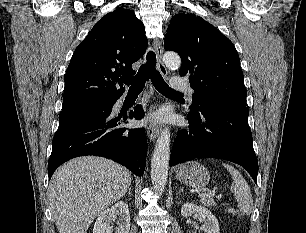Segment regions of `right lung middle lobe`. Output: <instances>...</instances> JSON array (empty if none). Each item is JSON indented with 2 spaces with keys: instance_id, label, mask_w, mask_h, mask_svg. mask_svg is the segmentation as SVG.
I'll use <instances>...</instances> for the list:
<instances>
[{
  "instance_id": "1",
  "label": "right lung middle lobe",
  "mask_w": 306,
  "mask_h": 233,
  "mask_svg": "<svg viewBox=\"0 0 306 233\" xmlns=\"http://www.w3.org/2000/svg\"><path fill=\"white\" fill-rule=\"evenodd\" d=\"M115 102H97V101H84L74 104L64 105L59 115V122L79 116L84 113L105 110L113 106Z\"/></svg>"
}]
</instances>
